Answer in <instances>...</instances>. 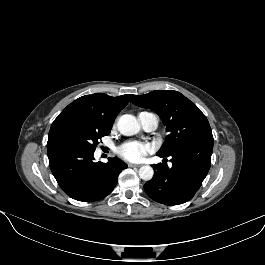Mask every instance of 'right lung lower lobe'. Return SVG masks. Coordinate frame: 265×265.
<instances>
[{
  "label": "right lung lower lobe",
  "mask_w": 265,
  "mask_h": 265,
  "mask_svg": "<svg viewBox=\"0 0 265 265\" xmlns=\"http://www.w3.org/2000/svg\"><path fill=\"white\" fill-rule=\"evenodd\" d=\"M51 171L62 190L71 198L92 202L106 197L127 165L118 158L95 163L93 151L72 145L47 147Z\"/></svg>",
  "instance_id": "1"
}]
</instances>
